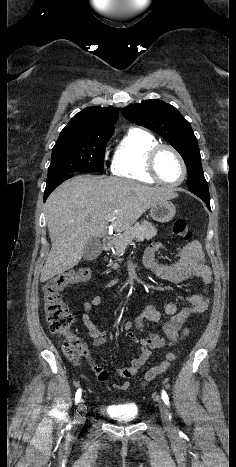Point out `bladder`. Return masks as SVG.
I'll return each mask as SVG.
<instances>
[{
  "instance_id": "obj_1",
  "label": "bladder",
  "mask_w": 236,
  "mask_h": 467,
  "mask_svg": "<svg viewBox=\"0 0 236 467\" xmlns=\"http://www.w3.org/2000/svg\"><path fill=\"white\" fill-rule=\"evenodd\" d=\"M108 414L121 421H132L138 418L139 410L136 405L128 404L123 407L111 406Z\"/></svg>"
}]
</instances>
